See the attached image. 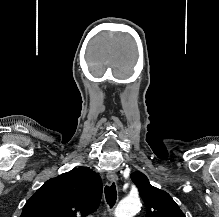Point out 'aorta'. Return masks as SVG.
<instances>
[{
    "label": "aorta",
    "instance_id": "1",
    "mask_svg": "<svg viewBox=\"0 0 219 217\" xmlns=\"http://www.w3.org/2000/svg\"><path fill=\"white\" fill-rule=\"evenodd\" d=\"M141 208L138 197H127L123 199L115 209V217H134Z\"/></svg>",
    "mask_w": 219,
    "mask_h": 217
}]
</instances>
